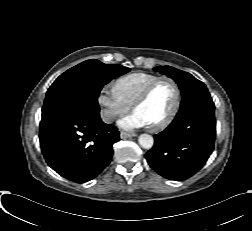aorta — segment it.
<instances>
[{
	"instance_id": "1",
	"label": "aorta",
	"mask_w": 252,
	"mask_h": 231,
	"mask_svg": "<svg viewBox=\"0 0 252 231\" xmlns=\"http://www.w3.org/2000/svg\"><path fill=\"white\" fill-rule=\"evenodd\" d=\"M138 142L141 145V147L145 149H150L153 147L154 139L149 134H141L138 138Z\"/></svg>"
}]
</instances>
